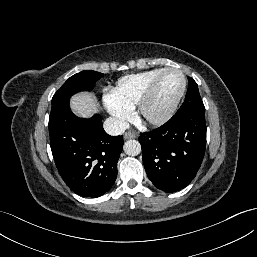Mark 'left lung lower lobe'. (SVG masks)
Returning <instances> with one entry per match:
<instances>
[{
    "label": "left lung lower lobe",
    "instance_id": "0a47b994",
    "mask_svg": "<svg viewBox=\"0 0 257 257\" xmlns=\"http://www.w3.org/2000/svg\"><path fill=\"white\" fill-rule=\"evenodd\" d=\"M142 159L148 178L165 192L190 184L206 147L204 112L175 114L161 127L140 134Z\"/></svg>",
    "mask_w": 257,
    "mask_h": 257
}]
</instances>
